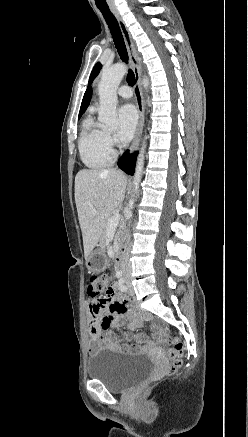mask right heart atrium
Wrapping results in <instances>:
<instances>
[{
	"label": "right heart atrium",
	"mask_w": 248,
	"mask_h": 437,
	"mask_svg": "<svg viewBox=\"0 0 248 437\" xmlns=\"http://www.w3.org/2000/svg\"><path fill=\"white\" fill-rule=\"evenodd\" d=\"M105 143L109 151L112 153L116 145V138L110 132H105Z\"/></svg>",
	"instance_id": "obj_1"
}]
</instances>
